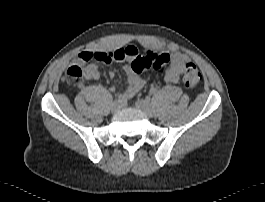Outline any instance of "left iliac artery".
Segmentation results:
<instances>
[{
  "label": "left iliac artery",
  "instance_id": "1",
  "mask_svg": "<svg viewBox=\"0 0 265 202\" xmlns=\"http://www.w3.org/2000/svg\"><path fill=\"white\" fill-rule=\"evenodd\" d=\"M150 95H155L156 94V90L154 88H151L149 91Z\"/></svg>",
  "mask_w": 265,
  "mask_h": 202
}]
</instances>
